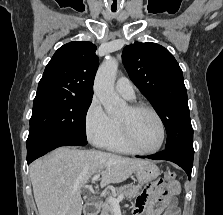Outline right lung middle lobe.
I'll list each match as a JSON object with an SVG mask.
<instances>
[{"instance_id": "dd1d6c3e", "label": "right lung middle lobe", "mask_w": 223, "mask_h": 215, "mask_svg": "<svg viewBox=\"0 0 223 215\" xmlns=\"http://www.w3.org/2000/svg\"><path fill=\"white\" fill-rule=\"evenodd\" d=\"M91 101L55 95L36 96L27 147L58 139L86 140V114Z\"/></svg>"}]
</instances>
